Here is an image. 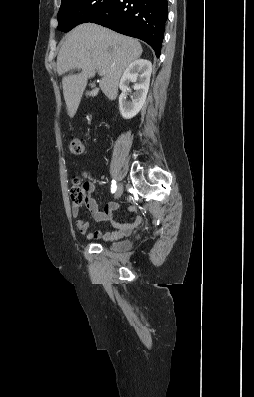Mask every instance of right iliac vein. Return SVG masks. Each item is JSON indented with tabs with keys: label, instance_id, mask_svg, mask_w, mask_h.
<instances>
[{
	"label": "right iliac vein",
	"instance_id": "1",
	"mask_svg": "<svg viewBox=\"0 0 254 397\" xmlns=\"http://www.w3.org/2000/svg\"><path fill=\"white\" fill-rule=\"evenodd\" d=\"M122 193H123V184L120 183V184L117 186L116 190H115V198H116V199L120 198L121 195H122Z\"/></svg>",
	"mask_w": 254,
	"mask_h": 397
}]
</instances>
